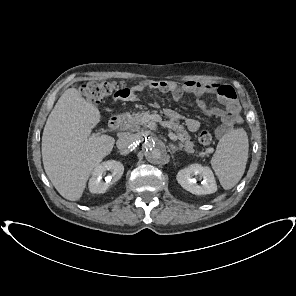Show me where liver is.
Segmentation results:
<instances>
[{
    "instance_id": "6515ba94",
    "label": "liver",
    "mask_w": 296,
    "mask_h": 296,
    "mask_svg": "<svg viewBox=\"0 0 296 296\" xmlns=\"http://www.w3.org/2000/svg\"><path fill=\"white\" fill-rule=\"evenodd\" d=\"M100 120L98 107L76 88H69L46 121L42 135L44 169L67 200L81 198L92 170L113 149V137L91 134Z\"/></svg>"
}]
</instances>
